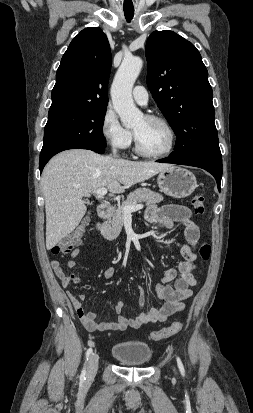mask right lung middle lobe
Here are the masks:
<instances>
[{
    "mask_svg": "<svg viewBox=\"0 0 253 413\" xmlns=\"http://www.w3.org/2000/svg\"><path fill=\"white\" fill-rule=\"evenodd\" d=\"M105 108L69 110L48 115L41 151L64 143H105L102 133Z\"/></svg>",
    "mask_w": 253,
    "mask_h": 413,
    "instance_id": "dd1d6c3e",
    "label": "right lung middle lobe"
}]
</instances>
